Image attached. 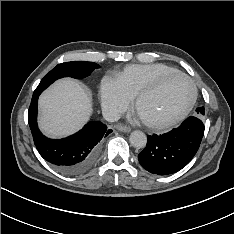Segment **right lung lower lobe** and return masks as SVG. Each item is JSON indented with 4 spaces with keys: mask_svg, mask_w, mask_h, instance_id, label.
Listing matches in <instances>:
<instances>
[{
    "mask_svg": "<svg viewBox=\"0 0 234 234\" xmlns=\"http://www.w3.org/2000/svg\"><path fill=\"white\" fill-rule=\"evenodd\" d=\"M40 94L33 93L28 112V123L40 155L66 175H79L93 166L100 150V140L112 132L102 122L93 121L67 138L52 140L37 126V103Z\"/></svg>",
    "mask_w": 234,
    "mask_h": 234,
    "instance_id": "1",
    "label": "right lung lower lobe"
}]
</instances>
